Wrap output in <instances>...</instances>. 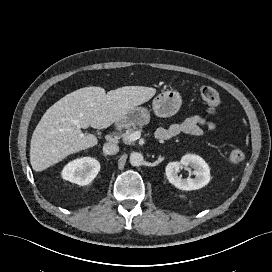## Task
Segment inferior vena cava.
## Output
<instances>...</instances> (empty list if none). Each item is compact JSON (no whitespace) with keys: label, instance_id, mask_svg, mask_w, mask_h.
<instances>
[{"label":"inferior vena cava","instance_id":"inferior-vena-cava-1","mask_svg":"<svg viewBox=\"0 0 272 272\" xmlns=\"http://www.w3.org/2000/svg\"><path fill=\"white\" fill-rule=\"evenodd\" d=\"M118 151H119V146L114 143L108 142L103 145V152L105 154L114 155V154H117Z\"/></svg>","mask_w":272,"mask_h":272}]
</instances>
